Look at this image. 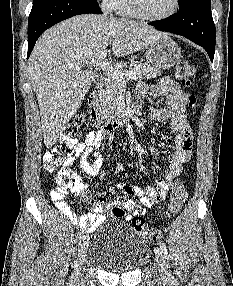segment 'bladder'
Wrapping results in <instances>:
<instances>
[{"instance_id": "31cf9c89", "label": "bladder", "mask_w": 233, "mask_h": 286, "mask_svg": "<svg viewBox=\"0 0 233 286\" xmlns=\"http://www.w3.org/2000/svg\"><path fill=\"white\" fill-rule=\"evenodd\" d=\"M90 261L110 273L133 272L150 257L147 241L130 225L111 221L98 229L88 248Z\"/></svg>"}]
</instances>
